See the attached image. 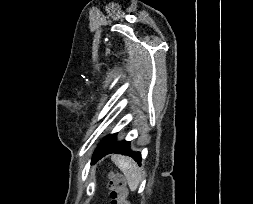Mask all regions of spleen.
I'll list each match as a JSON object with an SVG mask.
<instances>
[{"mask_svg": "<svg viewBox=\"0 0 253 204\" xmlns=\"http://www.w3.org/2000/svg\"><path fill=\"white\" fill-rule=\"evenodd\" d=\"M112 161L119 167L127 179L131 191H135L143 179L142 169L130 158L112 156Z\"/></svg>", "mask_w": 253, "mask_h": 204, "instance_id": "obj_1", "label": "spleen"}]
</instances>
